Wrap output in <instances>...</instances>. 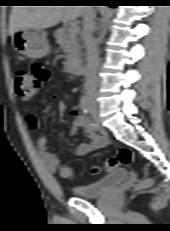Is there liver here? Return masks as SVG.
<instances>
[{
  "mask_svg": "<svg viewBox=\"0 0 170 231\" xmlns=\"http://www.w3.org/2000/svg\"><path fill=\"white\" fill-rule=\"evenodd\" d=\"M83 6H14L9 20V34L25 28L46 29L59 21H73L82 15Z\"/></svg>",
  "mask_w": 170,
  "mask_h": 231,
  "instance_id": "obj_1",
  "label": "liver"
}]
</instances>
